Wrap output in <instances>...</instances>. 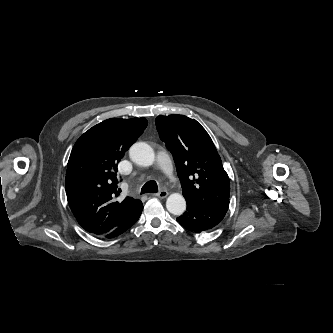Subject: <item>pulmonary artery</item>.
I'll return each mask as SVG.
<instances>
[{
	"label": "pulmonary artery",
	"instance_id": "obj_1",
	"mask_svg": "<svg viewBox=\"0 0 333 333\" xmlns=\"http://www.w3.org/2000/svg\"><path fill=\"white\" fill-rule=\"evenodd\" d=\"M157 163L166 174L171 175L172 172L171 160L165 152L158 153Z\"/></svg>",
	"mask_w": 333,
	"mask_h": 333
}]
</instances>
